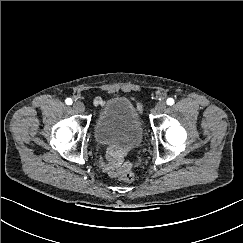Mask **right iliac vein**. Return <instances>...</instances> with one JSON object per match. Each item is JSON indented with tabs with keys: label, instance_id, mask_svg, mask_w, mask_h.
<instances>
[{
	"label": "right iliac vein",
	"instance_id": "obj_1",
	"mask_svg": "<svg viewBox=\"0 0 243 243\" xmlns=\"http://www.w3.org/2000/svg\"><path fill=\"white\" fill-rule=\"evenodd\" d=\"M73 108L79 113H83L85 110L84 104L80 101L74 102Z\"/></svg>",
	"mask_w": 243,
	"mask_h": 243
}]
</instances>
